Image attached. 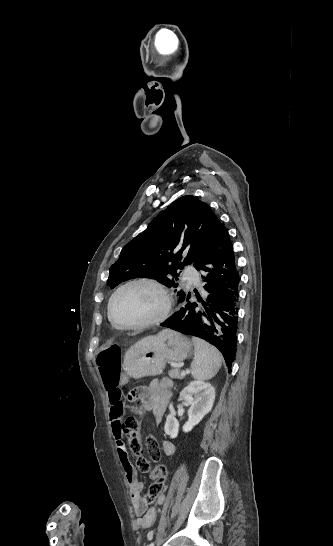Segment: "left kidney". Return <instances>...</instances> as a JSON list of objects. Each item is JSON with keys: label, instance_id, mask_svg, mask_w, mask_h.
<instances>
[{"label": "left kidney", "instance_id": "1", "mask_svg": "<svg viewBox=\"0 0 333 546\" xmlns=\"http://www.w3.org/2000/svg\"><path fill=\"white\" fill-rule=\"evenodd\" d=\"M179 398L184 404L190 406L188 421L183 425V431L190 432L211 411L215 400V390L210 383L193 381L180 392ZM164 430L170 438L177 437L179 423L174 415L167 416Z\"/></svg>", "mask_w": 333, "mask_h": 546}]
</instances>
